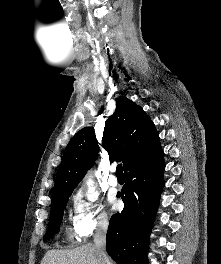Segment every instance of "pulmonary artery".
Wrapping results in <instances>:
<instances>
[{"mask_svg": "<svg viewBox=\"0 0 221 264\" xmlns=\"http://www.w3.org/2000/svg\"><path fill=\"white\" fill-rule=\"evenodd\" d=\"M108 182L111 186H117L118 185V179L115 175V167L111 168V174L109 175Z\"/></svg>", "mask_w": 221, "mask_h": 264, "instance_id": "1", "label": "pulmonary artery"}]
</instances>
